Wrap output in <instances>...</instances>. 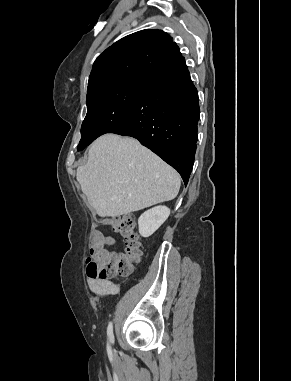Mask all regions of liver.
I'll return each instance as SVG.
<instances>
[{"label": "liver", "mask_w": 291, "mask_h": 381, "mask_svg": "<svg viewBox=\"0 0 291 381\" xmlns=\"http://www.w3.org/2000/svg\"><path fill=\"white\" fill-rule=\"evenodd\" d=\"M76 179L101 217H116L173 200L177 171L136 139L105 134L96 139Z\"/></svg>", "instance_id": "liver-1"}]
</instances>
